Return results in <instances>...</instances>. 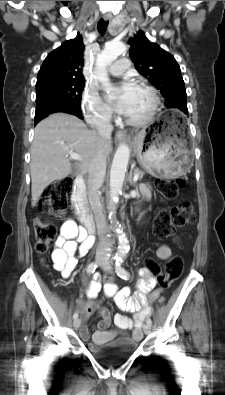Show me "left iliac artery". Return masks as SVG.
I'll return each instance as SVG.
<instances>
[{
    "label": "left iliac artery",
    "mask_w": 225,
    "mask_h": 395,
    "mask_svg": "<svg viewBox=\"0 0 225 395\" xmlns=\"http://www.w3.org/2000/svg\"><path fill=\"white\" fill-rule=\"evenodd\" d=\"M122 263H123V259L122 258H116V262H115V270L117 275L122 278V279H129L130 274L128 271H126L123 267H122ZM147 324L152 325V321L151 319H147L146 320Z\"/></svg>",
    "instance_id": "obj_1"
}]
</instances>
